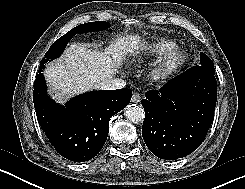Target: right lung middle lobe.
Wrapping results in <instances>:
<instances>
[{
	"mask_svg": "<svg viewBox=\"0 0 245 189\" xmlns=\"http://www.w3.org/2000/svg\"><path fill=\"white\" fill-rule=\"evenodd\" d=\"M108 26H109L108 22L97 21V22H89V23L81 24L71 29L69 32H67L65 35L60 37L57 41H55L54 44L49 48V50L47 51V53L45 54L44 58L40 63V68L43 69L45 63L59 57L64 51L67 42L77 33L79 34L84 32L100 31V30L107 29Z\"/></svg>",
	"mask_w": 245,
	"mask_h": 189,
	"instance_id": "dd1d6c3e",
	"label": "right lung middle lobe"
}]
</instances>
